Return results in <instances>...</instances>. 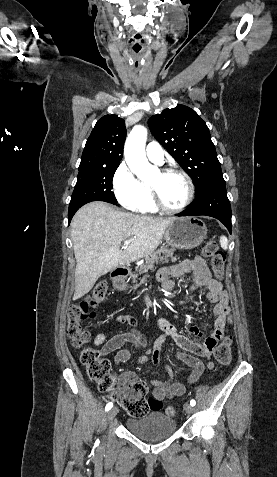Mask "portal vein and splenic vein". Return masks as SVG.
Listing matches in <instances>:
<instances>
[{"instance_id": "obj_1", "label": "portal vein and splenic vein", "mask_w": 277, "mask_h": 477, "mask_svg": "<svg viewBox=\"0 0 277 477\" xmlns=\"http://www.w3.org/2000/svg\"><path fill=\"white\" fill-rule=\"evenodd\" d=\"M133 239L126 240L123 244V248H127Z\"/></svg>"}]
</instances>
